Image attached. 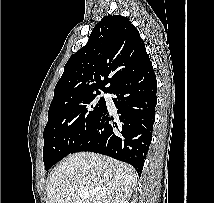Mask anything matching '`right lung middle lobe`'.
<instances>
[{"label":"right lung middle lobe","instance_id":"right-lung-middle-lobe-1","mask_svg":"<svg viewBox=\"0 0 214 203\" xmlns=\"http://www.w3.org/2000/svg\"><path fill=\"white\" fill-rule=\"evenodd\" d=\"M99 94L71 101L48 112V122L43 132L46 170L70 154L90 131L106 105L103 97L96 99Z\"/></svg>","mask_w":214,"mask_h":203}]
</instances>
